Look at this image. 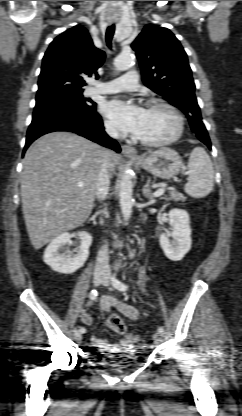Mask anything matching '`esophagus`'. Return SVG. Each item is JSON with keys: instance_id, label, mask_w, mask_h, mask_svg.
I'll use <instances>...</instances> for the list:
<instances>
[{"instance_id": "34e87169", "label": "esophagus", "mask_w": 242, "mask_h": 416, "mask_svg": "<svg viewBox=\"0 0 242 416\" xmlns=\"http://www.w3.org/2000/svg\"><path fill=\"white\" fill-rule=\"evenodd\" d=\"M122 152L127 157L138 158L137 151L129 145H122Z\"/></svg>"}]
</instances>
